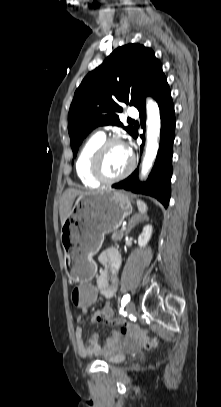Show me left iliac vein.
Returning a JSON list of instances; mask_svg holds the SVG:
<instances>
[{
  "instance_id": "obj_1",
  "label": "left iliac vein",
  "mask_w": 221,
  "mask_h": 407,
  "mask_svg": "<svg viewBox=\"0 0 221 407\" xmlns=\"http://www.w3.org/2000/svg\"><path fill=\"white\" fill-rule=\"evenodd\" d=\"M126 310H127V313H128V314H132V313L135 311V303L132 302V301L129 302V303L127 304Z\"/></svg>"
}]
</instances>
